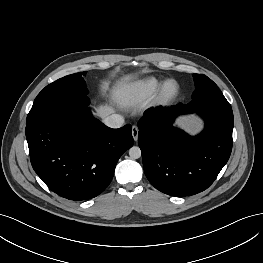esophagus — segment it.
Wrapping results in <instances>:
<instances>
[{
    "label": "esophagus",
    "instance_id": "34e87169",
    "mask_svg": "<svg viewBox=\"0 0 263 263\" xmlns=\"http://www.w3.org/2000/svg\"><path fill=\"white\" fill-rule=\"evenodd\" d=\"M138 132H139L138 127L136 125H133L132 126V136H133L134 141L138 140Z\"/></svg>",
    "mask_w": 263,
    "mask_h": 263
}]
</instances>
